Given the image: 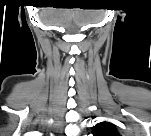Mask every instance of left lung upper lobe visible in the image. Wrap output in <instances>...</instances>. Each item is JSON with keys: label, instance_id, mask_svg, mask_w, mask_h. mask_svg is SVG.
Instances as JSON below:
<instances>
[{"label": "left lung upper lobe", "instance_id": "obj_1", "mask_svg": "<svg viewBox=\"0 0 151 136\" xmlns=\"http://www.w3.org/2000/svg\"><path fill=\"white\" fill-rule=\"evenodd\" d=\"M94 136H118L119 133L114 124L101 122L94 130Z\"/></svg>", "mask_w": 151, "mask_h": 136}]
</instances>
